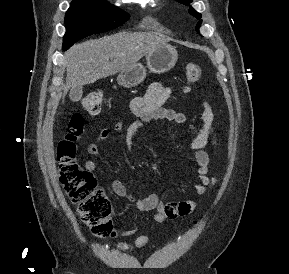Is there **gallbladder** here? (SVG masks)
Segmentation results:
<instances>
[{
	"label": "gallbladder",
	"instance_id": "obj_1",
	"mask_svg": "<svg viewBox=\"0 0 289 274\" xmlns=\"http://www.w3.org/2000/svg\"><path fill=\"white\" fill-rule=\"evenodd\" d=\"M82 93V87H74L70 90L69 97L73 102H76L81 99Z\"/></svg>",
	"mask_w": 289,
	"mask_h": 274
}]
</instances>
